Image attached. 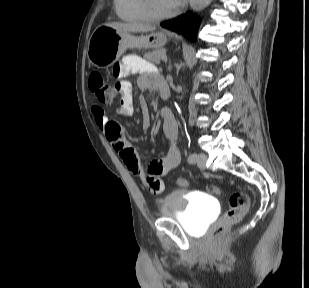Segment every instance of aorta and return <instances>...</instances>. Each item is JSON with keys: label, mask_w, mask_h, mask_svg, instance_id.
Instances as JSON below:
<instances>
[{"label": "aorta", "mask_w": 309, "mask_h": 288, "mask_svg": "<svg viewBox=\"0 0 309 288\" xmlns=\"http://www.w3.org/2000/svg\"><path fill=\"white\" fill-rule=\"evenodd\" d=\"M212 0H190V7L193 11H201L207 7Z\"/></svg>", "instance_id": "762f6f07"}]
</instances>
